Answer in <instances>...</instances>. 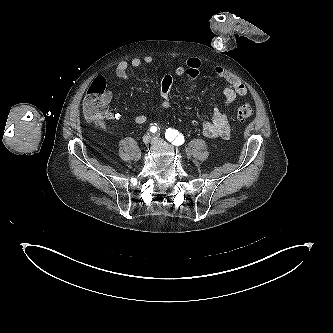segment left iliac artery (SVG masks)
Wrapping results in <instances>:
<instances>
[{"label":"left iliac artery","instance_id":"44dca946","mask_svg":"<svg viewBox=\"0 0 333 333\" xmlns=\"http://www.w3.org/2000/svg\"><path fill=\"white\" fill-rule=\"evenodd\" d=\"M165 137L168 141L172 142L176 146L182 145L185 141L184 136L172 128L166 129Z\"/></svg>","mask_w":333,"mask_h":333}]
</instances>
